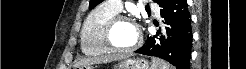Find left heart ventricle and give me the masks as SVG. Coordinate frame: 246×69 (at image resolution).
Segmentation results:
<instances>
[{
	"instance_id": "b2bd125f",
	"label": "left heart ventricle",
	"mask_w": 246,
	"mask_h": 69,
	"mask_svg": "<svg viewBox=\"0 0 246 69\" xmlns=\"http://www.w3.org/2000/svg\"><path fill=\"white\" fill-rule=\"evenodd\" d=\"M137 37L138 32L135 25L130 21H122L116 25L111 40L115 46L126 48L133 45Z\"/></svg>"
}]
</instances>
